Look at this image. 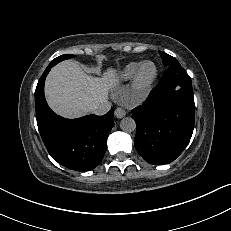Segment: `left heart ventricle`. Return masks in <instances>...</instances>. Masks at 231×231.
I'll list each match as a JSON object with an SVG mask.
<instances>
[{
    "label": "left heart ventricle",
    "instance_id": "b2bd125f",
    "mask_svg": "<svg viewBox=\"0 0 231 231\" xmlns=\"http://www.w3.org/2000/svg\"><path fill=\"white\" fill-rule=\"evenodd\" d=\"M154 72V67L151 64H148L144 67L143 72H142V77L144 79L150 78Z\"/></svg>",
    "mask_w": 231,
    "mask_h": 231
}]
</instances>
